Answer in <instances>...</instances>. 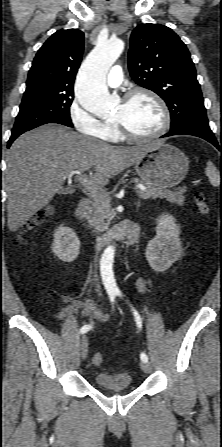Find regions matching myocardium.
Masks as SVG:
<instances>
[{
    "label": "myocardium",
    "mask_w": 222,
    "mask_h": 447,
    "mask_svg": "<svg viewBox=\"0 0 222 447\" xmlns=\"http://www.w3.org/2000/svg\"><path fill=\"white\" fill-rule=\"evenodd\" d=\"M138 95H146V96L150 97L159 106L161 113H162V117H163L161 127L155 133H152L149 135H138V134L132 132L127 127V125L120 119H114L113 123L116 125L120 134L128 140L136 141V142H146V141L155 140V139L163 136L170 128V125H171L170 110H169L166 102L156 92H154L148 88H137V89H134V90L126 93L123 97V102L127 103Z\"/></svg>",
    "instance_id": "myocardium-1"
}]
</instances>
